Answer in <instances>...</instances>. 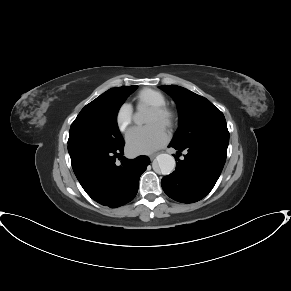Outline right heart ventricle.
Returning <instances> with one entry per match:
<instances>
[{
  "mask_svg": "<svg viewBox=\"0 0 291 291\" xmlns=\"http://www.w3.org/2000/svg\"><path fill=\"white\" fill-rule=\"evenodd\" d=\"M136 105L141 106H165L166 98L165 96L156 89L144 88L140 90L135 98Z\"/></svg>",
  "mask_w": 291,
  "mask_h": 291,
  "instance_id": "1",
  "label": "right heart ventricle"
}]
</instances>
